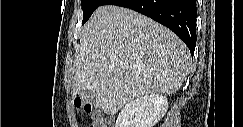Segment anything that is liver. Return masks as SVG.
<instances>
[{
  "mask_svg": "<svg viewBox=\"0 0 243 127\" xmlns=\"http://www.w3.org/2000/svg\"><path fill=\"white\" fill-rule=\"evenodd\" d=\"M75 67L72 96L88 90L105 114L114 115L135 98L177 92L189 71L190 53L163 25L105 5L83 28Z\"/></svg>",
  "mask_w": 243,
  "mask_h": 127,
  "instance_id": "liver-1",
  "label": "liver"
}]
</instances>
